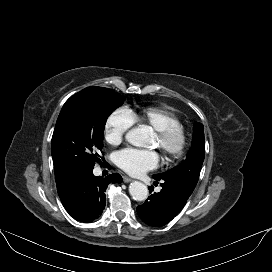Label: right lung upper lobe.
Returning a JSON list of instances; mask_svg holds the SVG:
<instances>
[{
	"mask_svg": "<svg viewBox=\"0 0 272 272\" xmlns=\"http://www.w3.org/2000/svg\"><path fill=\"white\" fill-rule=\"evenodd\" d=\"M58 195L61 196L77 178L67 177L61 165L54 163Z\"/></svg>",
	"mask_w": 272,
	"mask_h": 272,
	"instance_id": "1",
	"label": "right lung upper lobe"
}]
</instances>
